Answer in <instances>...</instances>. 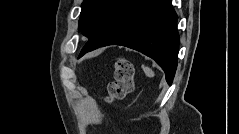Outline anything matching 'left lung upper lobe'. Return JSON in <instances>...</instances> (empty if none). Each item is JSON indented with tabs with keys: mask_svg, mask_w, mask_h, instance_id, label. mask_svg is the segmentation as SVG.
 Instances as JSON below:
<instances>
[{
	"mask_svg": "<svg viewBox=\"0 0 239 134\" xmlns=\"http://www.w3.org/2000/svg\"><path fill=\"white\" fill-rule=\"evenodd\" d=\"M124 0H84L79 31L88 39L98 33Z\"/></svg>",
	"mask_w": 239,
	"mask_h": 134,
	"instance_id": "1",
	"label": "left lung upper lobe"
}]
</instances>
